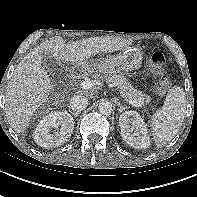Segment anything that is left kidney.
Wrapping results in <instances>:
<instances>
[{"label": "left kidney", "instance_id": "5707ae66", "mask_svg": "<svg viewBox=\"0 0 197 197\" xmlns=\"http://www.w3.org/2000/svg\"><path fill=\"white\" fill-rule=\"evenodd\" d=\"M119 124L123 140L137 149H145L150 146L147 127L135 111H127L120 115Z\"/></svg>", "mask_w": 197, "mask_h": 197}]
</instances>
